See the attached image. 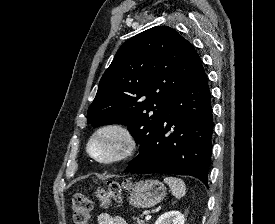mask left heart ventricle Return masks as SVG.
I'll use <instances>...</instances> for the list:
<instances>
[{
    "mask_svg": "<svg viewBox=\"0 0 275 224\" xmlns=\"http://www.w3.org/2000/svg\"><path fill=\"white\" fill-rule=\"evenodd\" d=\"M121 145L122 142L115 133H105L92 143L91 149L99 158H110L119 152Z\"/></svg>",
    "mask_w": 275,
    "mask_h": 224,
    "instance_id": "obj_1",
    "label": "left heart ventricle"
}]
</instances>
